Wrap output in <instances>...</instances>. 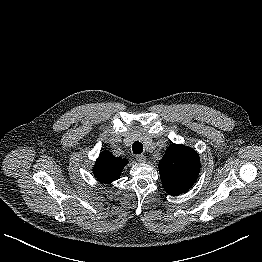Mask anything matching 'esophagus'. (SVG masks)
Returning a JSON list of instances; mask_svg holds the SVG:
<instances>
[{
	"mask_svg": "<svg viewBox=\"0 0 262 262\" xmlns=\"http://www.w3.org/2000/svg\"><path fill=\"white\" fill-rule=\"evenodd\" d=\"M135 158L138 162H145L146 161V157L144 155H136Z\"/></svg>",
	"mask_w": 262,
	"mask_h": 262,
	"instance_id": "obj_1",
	"label": "esophagus"
}]
</instances>
